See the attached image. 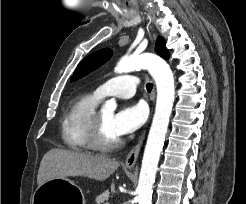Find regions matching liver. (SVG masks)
Returning <instances> with one entry per match:
<instances>
[{
	"instance_id": "6515ba94",
	"label": "liver",
	"mask_w": 246,
	"mask_h": 204,
	"mask_svg": "<svg viewBox=\"0 0 246 204\" xmlns=\"http://www.w3.org/2000/svg\"><path fill=\"white\" fill-rule=\"evenodd\" d=\"M120 163L115 159L79 151L54 148L42 158L37 175L38 187L54 178L84 176L97 181L107 179Z\"/></svg>"
}]
</instances>
